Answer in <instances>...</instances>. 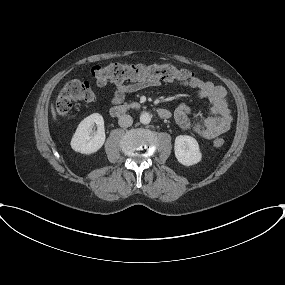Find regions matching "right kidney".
Wrapping results in <instances>:
<instances>
[{"instance_id": "ca27d5eb", "label": "right kidney", "mask_w": 285, "mask_h": 285, "mask_svg": "<svg viewBox=\"0 0 285 285\" xmlns=\"http://www.w3.org/2000/svg\"><path fill=\"white\" fill-rule=\"evenodd\" d=\"M95 124L97 132L93 134L92 128ZM105 138L104 119L99 113H93L80 122L70 145L76 152L92 154L103 146Z\"/></svg>"}]
</instances>
